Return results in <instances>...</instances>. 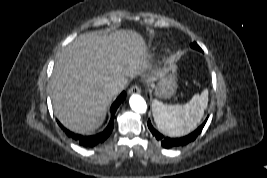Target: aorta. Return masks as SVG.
Returning a JSON list of instances; mask_svg holds the SVG:
<instances>
[{
  "instance_id": "1",
  "label": "aorta",
  "mask_w": 267,
  "mask_h": 178,
  "mask_svg": "<svg viewBox=\"0 0 267 178\" xmlns=\"http://www.w3.org/2000/svg\"><path fill=\"white\" fill-rule=\"evenodd\" d=\"M130 107L137 113H145L147 104L144 98L138 94H133L129 99Z\"/></svg>"
}]
</instances>
